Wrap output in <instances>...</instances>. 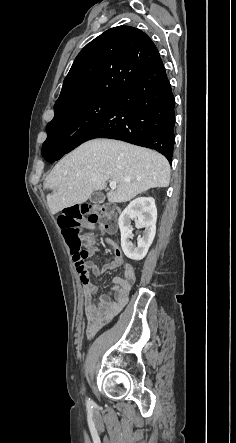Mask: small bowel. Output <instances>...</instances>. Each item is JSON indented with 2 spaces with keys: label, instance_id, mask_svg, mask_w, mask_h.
<instances>
[{
  "label": "small bowel",
  "instance_id": "obj_1",
  "mask_svg": "<svg viewBox=\"0 0 236 443\" xmlns=\"http://www.w3.org/2000/svg\"><path fill=\"white\" fill-rule=\"evenodd\" d=\"M105 243L115 246V243L110 239H105ZM86 246L90 248L92 255L97 253L95 238H89ZM118 268H122L123 273L122 276H115L112 279L111 291L114 296H97L98 288L91 281V274L100 276L106 271L116 270ZM75 269L84 296L83 310L86 317V334L88 337H92L127 303L136 279V269L126 260L118 249L115 251L113 260L104 264L102 267L94 262H87L84 263L83 266L75 265Z\"/></svg>",
  "mask_w": 236,
  "mask_h": 443
}]
</instances>
